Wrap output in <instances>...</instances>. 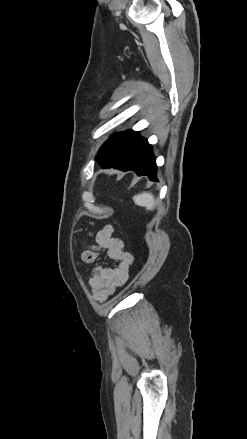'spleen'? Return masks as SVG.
Segmentation results:
<instances>
[{
    "mask_svg": "<svg viewBox=\"0 0 247 439\" xmlns=\"http://www.w3.org/2000/svg\"><path fill=\"white\" fill-rule=\"evenodd\" d=\"M133 201L137 206L145 207L149 211H152L156 205L154 196L148 192L135 195Z\"/></svg>",
    "mask_w": 247,
    "mask_h": 439,
    "instance_id": "1",
    "label": "spleen"
}]
</instances>
